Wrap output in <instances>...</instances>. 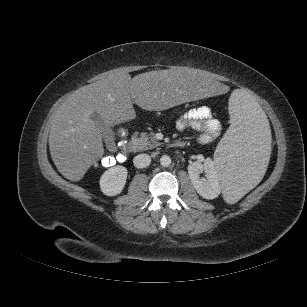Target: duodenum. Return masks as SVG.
<instances>
[{
	"mask_svg": "<svg viewBox=\"0 0 307 307\" xmlns=\"http://www.w3.org/2000/svg\"><path fill=\"white\" fill-rule=\"evenodd\" d=\"M184 142H182V141H174L173 143H172V146L173 147H175V148H182V147H184ZM129 153H133V152H135L137 149H138V143H137V141H135V140H130L129 141ZM128 153V154H129Z\"/></svg>",
	"mask_w": 307,
	"mask_h": 307,
	"instance_id": "410a0bca",
	"label": "duodenum"
}]
</instances>
